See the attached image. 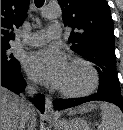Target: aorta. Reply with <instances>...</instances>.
<instances>
[{
  "instance_id": "obj_1",
  "label": "aorta",
  "mask_w": 123,
  "mask_h": 130,
  "mask_svg": "<svg viewBox=\"0 0 123 130\" xmlns=\"http://www.w3.org/2000/svg\"><path fill=\"white\" fill-rule=\"evenodd\" d=\"M41 15L45 19H55L62 15V11L57 3H51L42 10Z\"/></svg>"
}]
</instances>
